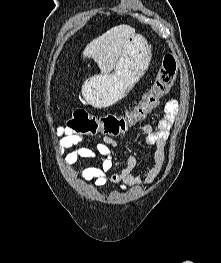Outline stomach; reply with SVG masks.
Returning <instances> with one entry per match:
<instances>
[{"instance_id":"stomach-1","label":"stomach","mask_w":221,"mask_h":263,"mask_svg":"<svg viewBox=\"0 0 221 263\" xmlns=\"http://www.w3.org/2000/svg\"><path fill=\"white\" fill-rule=\"evenodd\" d=\"M151 56L147 41L139 35H132L112 74L94 75L83 83L85 101L94 108L102 109L124 98L147 71Z\"/></svg>"}]
</instances>
